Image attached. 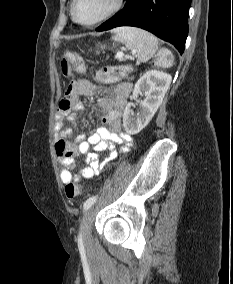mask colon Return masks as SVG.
<instances>
[{
	"mask_svg": "<svg viewBox=\"0 0 233 284\" xmlns=\"http://www.w3.org/2000/svg\"><path fill=\"white\" fill-rule=\"evenodd\" d=\"M174 63L172 52L167 48H162L156 54L152 64L156 68H169ZM61 68L64 75H69L72 70L79 74L86 71L83 58L75 51L68 50L61 59ZM129 66L117 65L106 66L95 73V78L102 83H114L129 75ZM80 193V187L76 183H68L65 186V194L68 199L76 198Z\"/></svg>",
	"mask_w": 233,
	"mask_h": 284,
	"instance_id": "5ec220e1",
	"label": "colon"
}]
</instances>
